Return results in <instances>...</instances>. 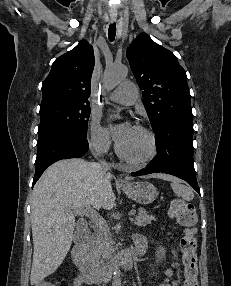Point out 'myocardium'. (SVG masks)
Returning <instances> with one entry per match:
<instances>
[{
    "label": "myocardium",
    "instance_id": "1",
    "mask_svg": "<svg viewBox=\"0 0 231 286\" xmlns=\"http://www.w3.org/2000/svg\"><path fill=\"white\" fill-rule=\"evenodd\" d=\"M136 129L144 133L150 142V150L147 155H145L142 158L134 159L129 156H127L120 148L119 143L116 145V153L117 155L124 160L125 162L134 165V166H144L147 163H149L151 160L154 159V157L157 155L158 145H157V139L155 134L148 128L142 126V125H136Z\"/></svg>",
    "mask_w": 231,
    "mask_h": 286
}]
</instances>
